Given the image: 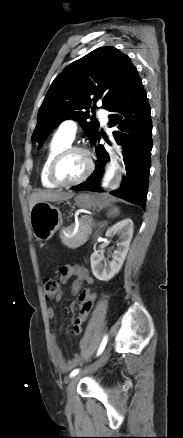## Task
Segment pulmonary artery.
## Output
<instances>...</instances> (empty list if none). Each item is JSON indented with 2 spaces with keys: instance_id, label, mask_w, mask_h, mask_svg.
Masks as SVG:
<instances>
[{
  "instance_id": "1",
  "label": "pulmonary artery",
  "mask_w": 183,
  "mask_h": 438,
  "mask_svg": "<svg viewBox=\"0 0 183 438\" xmlns=\"http://www.w3.org/2000/svg\"><path fill=\"white\" fill-rule=\"evenodd\" d=\"M101 104H99L100 106ZM99 115L102 119L103 122L107 121V113L106 111L99 107ZM77 131V125L73 120H66L64 122L61 123L60 127H59V132L61 134H63L64 136H66L67 138H69L70 140H73L75 137Z\"/></svg>"
}]
</instances>
